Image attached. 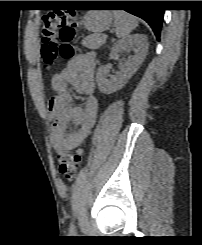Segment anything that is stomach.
<instances>
[{"instance_id": "obj_1", "label": "stomach", "mask_w": 202, "mask_h": 245, "mask_svg": "<svg viewBox=\"0 0 202 245\" xmlns=\"http://www.w3.org/2000/svg\"><path fill=\"white\" fill-rule=\"evenodd\" d=\"M112 14L107 10L88 11L82 20L85 28L95 34H99L109 29L112 24Z\"/></svg>"}]
</instances>
